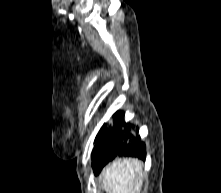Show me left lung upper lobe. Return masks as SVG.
<instances>
[{
    "label": "left lung upper lobe",
    "mask_w": 221,
    "mask_h": 193,
    "mask_svg": "<svg viewBox=\"0 0 221 193\" xmlns=\"http://www.w3.org/2000/svg\"><path fill=\"white\" fill-rule=\"evenodd\" d=\"M105 129H106V125L104 124L95 138V143H97V141L99 140V138L101 137V135L105 131Z\"/></svg>",
    "instance_id": "left-lung-upper-lobe-1"
}]
</instances>
